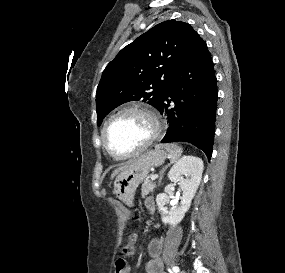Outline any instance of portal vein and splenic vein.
<instances>
[{
    "label": "portal vein and splenic vein",
    "instance_id": "1",
    "mask_svg": "<svg viewBox=\"0 0 285 273\" xmlns=\"http://www.w3.org/2000/svg\"><path fill=\"white\" fill-rule=\"evenodd\" d=\"M157 178H158V175H157V174H153V175L151 176V180H152V181L156 180Z\"/></svg>",
    "mask_w": 285,
    "mask_h": 273
}]
</instances>
